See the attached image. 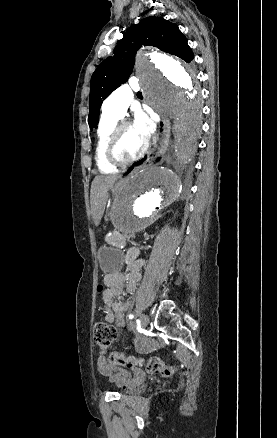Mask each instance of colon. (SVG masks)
Masks as SVG:
<instances>
[{"label":"colon","mask_w":277,"mask_h":438,"mask_svg":"<svg viewBox=\"0 0 277 438\" xmlns=\"http://www.w3.org/2000/svg\"><path fill=\"white\" fill-rule=\"evenodd\" d=\"M117 336V330L114 326L100 321L95 323L93 326V341L95 347L101 351L105 352L109 350L115 341ZM107 361L113 364H118L121 366L128 367H139L144 364L147 365V369L150 373H160L163 377L170 378L173 377L176 372V367H171L166 365L160 358L152 357L147 362L142 358L127 357L122 353H111L107 356ZM179 388L184 386L182 381L177 383Z\"/></svg>","instance_id":"1"}]
</instances>
